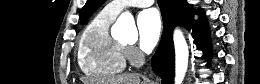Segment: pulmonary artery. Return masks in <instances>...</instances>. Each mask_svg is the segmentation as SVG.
I'll return each instance as SVG.
<instances>
[{"label":"pulmonary artery","mask_w":260,"mask_h":84,"mask_svg":"<svg viewBox=\"0 0 260 84\" xmlns=\"http://www.w3.org/2000/svg\"><path fill=\"white\" fill-rule=\"evenodd\" d=\"M153 3V0L112 1L105 6L104 10L111 15L117 16L128 7H147Z\"/></svg>","instance_id":"1"}]
</instances>
